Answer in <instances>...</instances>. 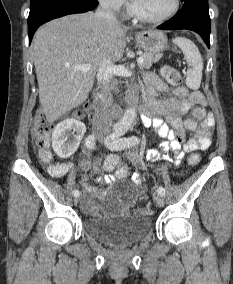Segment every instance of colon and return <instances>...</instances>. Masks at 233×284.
<instances>
[{
    "mask_svg": "<svg viewBox=\"0 0 233 284\" xmlns=\"http://www.w3.org/2000/svg\"><path fill=\"white\" fill-rule=\"evenodd\" d=\"M161 74L171 85H179L181 82V75L175 68L171 66H163L161 68ZM84 114V110L75 112V116L81 117ZM206 117L205 109L202 106H196L192 110L191 115L185 121V128L188 131H194L197 129L198 124ZM53 130V124L46 119L42 112L37 114L36 122L33 128L34 144L39 154L40 159L47 163L51 159L50 152V134ZM200 161V156L193 154L189 157V163L192 165L197 164ZM105 169L111 173L116 179H124L128 174L127 166L117 156L111 155L105 160ZM139 213H150L149 207H144L138 210Z\"/></svg>",
    "mask_w": 233,
    "mask_h": 284,
    "instance_id": "colon-1",
    "label": "colon"
}]
</instances>
